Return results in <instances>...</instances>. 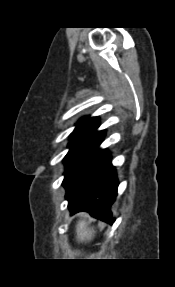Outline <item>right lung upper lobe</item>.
<instances>
[{"label": "right lung upper lobe", "mask_w": 175, "mask_h": 287, "mask_svg": "<svg viewBox=\"0 0 175 287\" xmlns=\"http://www.w3.org/2000/svg\"><path fill=\"white\" fill-rule=\"evenodd\" d=\"M98 125H99V118L98 117L86 116V117L79 120V122L77 123L76 129L84 128V127H98Z\"/></svg>", "instance_id": "obj_1"}]
</instances>
